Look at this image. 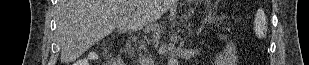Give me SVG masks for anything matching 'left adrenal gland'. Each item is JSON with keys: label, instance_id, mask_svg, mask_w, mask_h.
<instances>
[{"label": "left adrenal gland", "instance_id": "obj_1", "mask_svg": "<svg viewBox=\"0 0 309 65\" xmlns=\"http://www.w3.org/2000/svg\"><path fill=\"white\" fill-rule=\"evenodd\" d=\"M188 30H189V34H191L190 29H188Z\"/></svg>", "mask_w": 309, "mask_h": 65}]
</instances>
